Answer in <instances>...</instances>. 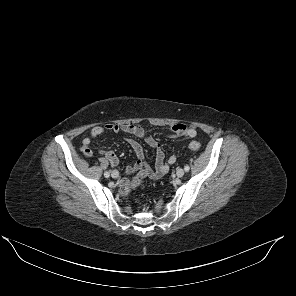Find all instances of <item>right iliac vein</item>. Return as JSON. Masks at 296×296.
<instances>
[{"mask_svg":"<svg viewBox=\"0 0 296 296\" xmlns=\"http://www.w3.org/2000/svg\"><path fill=\"white\" fill-rule=\"evenodd\" d=\"M111 176H112L113 178H117V177L119 176L118 171H115V170H114V171L112 172Z\"/></svg>","mask_w":296,"mask_h":296,"instance_id":"1","label":"right iliac vein"}]
</instances>
